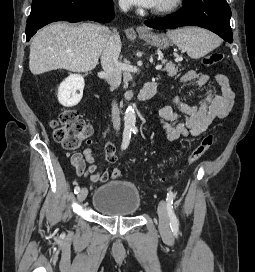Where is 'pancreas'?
Returning a JSON list of instances; mask_svg holds the SVG:
<instances>
[{
  "label": "pancreas",
  "instance_id": "1",
  "mask_svg": "<svg viewBox=\"0 0 255 272\" xmlns=\"http://www.w3.org/2000/svg\"><path fill=\"white\" fill-rule=\"evenodd\" d=\"M162 63L165 64V67L162 71H165L169 77L176 76L178 73V66L167 60H162Z\"/></svg>",
  "mask_w": 255,
  "mask_h": 272
}]
</instances>
